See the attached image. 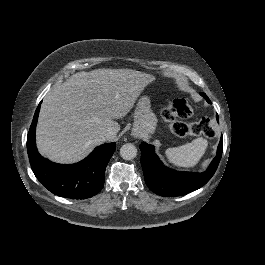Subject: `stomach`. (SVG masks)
I'll return each instance as SVG.
<instances>
[{
	"label": "stomach",
	"instance_id": "1",
	"mask_svg": "<svg viewBox=\"0 0 265 265\" xmlns=\"http://www.w3.org/2000/svg\"><path fill=\"white\" fill-rule=\"evenodd\" d=\"M158 119L151 109L150 97L144 95L139 99L135 112L132 135L146 138L155 132Z\"/></svg>",
	"mask_w": 265,
	"mask_h": 265
}]
</instances>
